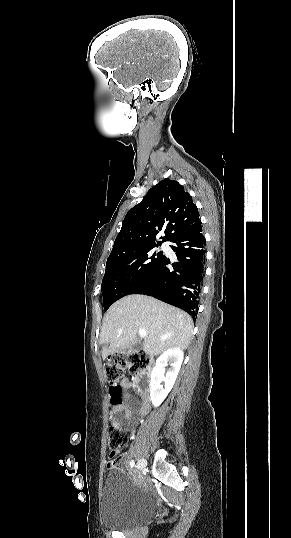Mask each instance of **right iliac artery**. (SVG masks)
Wrapping results in <instances>:
<instances>
[{
	"mask_svg": "<svg viewBox=\"0 0 291 538\" xmlns=\"http://www.w3.org/2000/svg\"><path fill=\"white\" fill-rule=\"evenodd\" d=\"M133 466H134V461L132 460V461L130 462V467L133 468Z\"/></svg>",
	"mask_w": 291,
	"mask_h": 538,
	"instance_id": "obj_1",
	"label": "right iliac artery"
}]
</instances>
